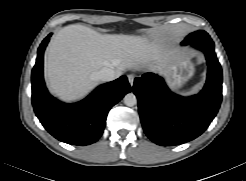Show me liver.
<instances>
[{"label": "liver", "mask_w": 246, "mask_h": 181, "mask_svg": "<svg viewBox=\"0 0 246 181\" xmlns=\"http://www.w3.org/2000/svg\"><path fill=\"white\" fill-rule=\"evenodd\" d=\"M167 55L161 40L135 35H103L73 24L53 38L46 58L45 76L50 91L66 102L83 98L98 83L94 73L113 68L117 77L127 68L148 65L164 74Z\"/></svg>", "instance_id": "obj_1"}]
</instances>
